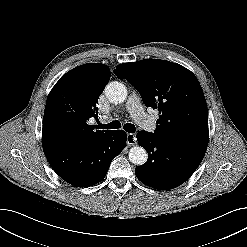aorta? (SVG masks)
I'll return each instance as SVG.
<instances>
[{
	"label": "aorta",
	"mask_w": 247,
	"mask_h": 247,
	"mask_svg": "<svg viewBox=\"0 0 247 247\" xmlns=\"http://www.w3.org/2000/svg\"><path fill=\"white\" fill-rule=\"evenodd\" d=\"M105 95L112 103H122L127 98V88L121 82H110L105 87ZM148 154L141 146H134L129 151V160L135 165H143L147 162Z\"/></svg>",
	"instance_id": "obj_1"
}]
</instances>
